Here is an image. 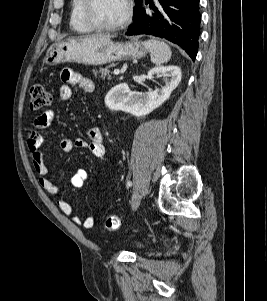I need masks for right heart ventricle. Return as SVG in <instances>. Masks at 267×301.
Returning <instances> with one entry per match:
<instances>
[{
  "mask_svg": "<svg viewBox=\"0 0 267 301\" xmlns=\"http://www.w3.org/2000/svg\"><path fill=\"white\" fill-rule=\"evenodd\" d=\"M84 2L85 0H71L70 27L78 33H90L94 31L84 18Z\"/></svg>",
  "mask_w": 267,
  "mask_h": 301,
  "instance_id": "e07e8e85",
  "label": "right heart ventricle"
}]
</instances>
